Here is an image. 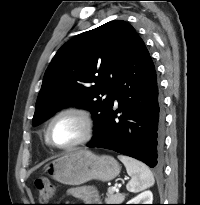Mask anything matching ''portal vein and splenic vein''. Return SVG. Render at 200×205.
I'll list each match as a JSON object with an SVG mask.
<instances>
[{
  "instance_id": "18ae733b",
  "label": "portal vein and splenic vein",
  "mask_w": 200,
  "mask_h": 205,
  "mask_svg": "<svg viewBox=\"0 0 200 205\" xmlns=\"http://www.w3.org/2000/svg\"><path fill=\"white\" fill-rule=\"evenodd\" d=\"M112 190L114 191L118 190L117 186L112 187Z\"/></svg>"
}]
</instances>
